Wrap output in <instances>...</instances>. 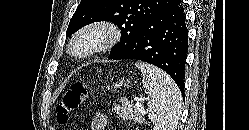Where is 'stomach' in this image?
<instances>
[{"instance_id": "1", "label": "stomach", "mask_w": 249, "mask_h": 130, "mask_svg": "<svg viewBox=\"0 0 249 130\" xmlns=\"http://www.w3.org/2000/svg\"><path fill=\"white\" fill-rule=\"evenodd\" d=\"M122 85H123L122 82H117L116 84L113 85V87L116 89V88H120Z\"/></svg>"}]
</instances>
